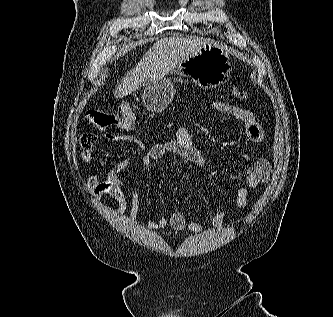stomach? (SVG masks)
I'll use <instances>...</instances> for the list:
<instances>
[{
    "label": "stomach",
    "mask_w": 333,
    "mask_h": 317,
    "mask_svg": "<svg viewBox=\"0 0 333 317\" xmlns=\"http://www.w3.org/2000/svg\"><path fill=\"white\" fill-rule=\"evenodd\" d=\"M231 68L227 51L207 41L195 55L173 69V73L179 77L192 78L201 88H212L223 83ZM173 96V83L162 77L149 82L142 95V102L147 110L161 112L169 105Z\"/></svg>",
    "instance_id": "0dacf381"
}]
</instances>
